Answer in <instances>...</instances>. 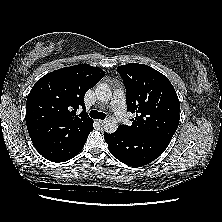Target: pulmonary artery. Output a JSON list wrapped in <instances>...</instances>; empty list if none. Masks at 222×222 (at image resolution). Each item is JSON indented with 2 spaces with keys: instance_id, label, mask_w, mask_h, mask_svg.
Returning a JSON list of instances; mask_svg holds the SVG:
<instances>
[{
  "instance_id": "obj_1",
  "label": "pulmonary artery",
  "mask_w": 222,
  "mask_h": 222,
  "mask_svg": "<svg viewBox=\"0 0 222 222\" xmlns=\"http://www.w3.org/2000/svg\"><path fill=\"white\" fill-rule=\"evenodd\" d=\"M111 109L113 110L116 118L122 123H128V116L126 113V100L125 93L121 89H117L114 92L110 103Z\"/></svg>"
}]
</instances>
